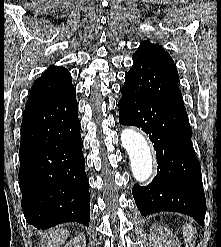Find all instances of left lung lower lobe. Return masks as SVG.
<instances>
[{
  "instance_id": "0a47b994",
  "label": "left lung lower lobe",
  "mask_w": 221,
  "mask_h": 247,
  "mask_svg": "<svg viewBox=\"0 0 221 247\" xmlns=\"http://www.w3.org/2000/svg\"><path fill=\"white\" fill-rule=\"evenodd\" d=\"M120 92L119 122L149 134L157 155L156 177L148 186L135 184L132 189L141 215L179 212L204 226L206 201L201 168L186 111L138 94L127 76Z\"/></svg>"
}]
</instances>
